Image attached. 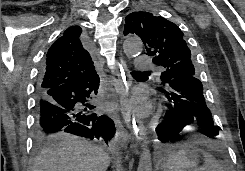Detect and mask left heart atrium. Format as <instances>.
Segmentation results:
<instances>
[{"label": "left heart atrium", "instance_id": "39dd6f15", "mask_svg": "<svg viewBox=\"0 0 245 171\" xmlns=\"http://www.w3.org/2000/svg\"><path fill=\"white\" fill-rule=\"evenodd\" d=\"M124 107L127 111L139 116L146 115L150 110L148 101L139 93H134L132 96L127 98Z\"/></svg>", "mask_w": 245, "mask_h": 171}]
</instances>
